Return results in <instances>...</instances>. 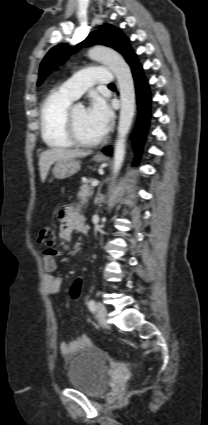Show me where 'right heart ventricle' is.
Here are the masks:
<instances>
[{
    "mask_svg": "<svg viewBox=\"0 0 208 425\" xmlns=\"http://www.w3.org/2000/svg\"><path fill=\"white\" fill-rule=\"evenodd\" d=\"M74 98L61 89L53 90L40 108V130L44 143L53 149L73 147L65 124V115Z\"/></svg>",
    "mask_w": 208,
    "mask_h": 425,
    "instance_id": "obj_1",
    "label": "right heart ventricle"
}]
</instances>
